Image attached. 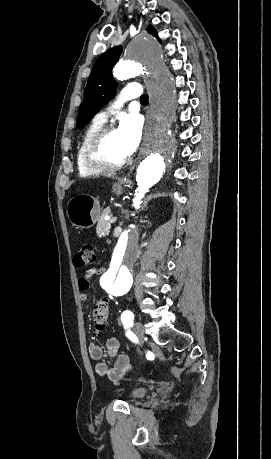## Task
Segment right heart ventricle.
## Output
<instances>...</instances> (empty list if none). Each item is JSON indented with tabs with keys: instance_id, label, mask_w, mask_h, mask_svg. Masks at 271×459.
<instances>
[{
	"instance_id": "right-heart-ventricle-1",
	"label": "right heart ventricle",
	"mask_w": 271,
	"mask_h": 459,
	"mask_svg": "<svg viewBox=\"0 0 271 459\" xmlns=\"http://www.w3.org/2000/svg\"><path fill=\"white\" fill-rule=\"evenodd\" d=\"M103 127V123L94 119L82 132L76 149L75 163L78 175L82 178H92L104 172L102 169L90 167L84 159L83 150L88 139Z\"/></svg>"
}]
</instances>
